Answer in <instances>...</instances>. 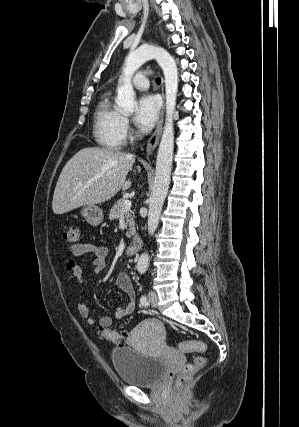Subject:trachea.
Here are the masks:
<instances>
[{
    "instance_id": "3493384b",
    "label": "trachea",
    "mask_w": 299,
    "mask_h": 427,
    "mask_svg": "<svg viewBox=\"0 0 299 427\" xmlns=\"http://www.w3.org/2000/svg\"><path fill=\"white\" fill-rule=\"evenodd\" d=\"M155 81H156L157 84H160L161 83L160 77H157Z\"/></svg>"
}]
</instances>
